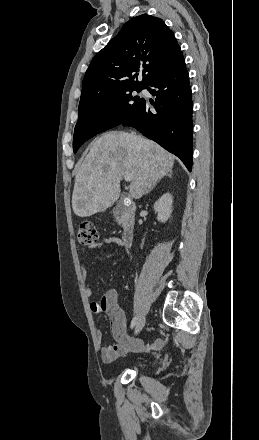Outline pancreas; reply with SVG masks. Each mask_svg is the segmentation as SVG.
<instances>
[{
  "label": "pancreas",
  "mask_w": 259,
  "mask_h": 440,
  "mask_svg": "<svg viewBox=\"0 0 259 440\" xmlns=\"http://www.w3.org/2000/svg\"><path fill=\"white\" fill-rule=\"evenodd\" d=\"M121 223H122V224H123V226H124V221H121V222H120V224H121Z\"/></svg>",
  "instance_id": "cf45deb5"
}]
</instances>
